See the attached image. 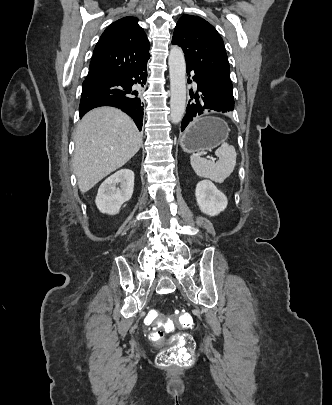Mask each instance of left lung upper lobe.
Returning <instances> with one entry per match:
<instances>
[{
    "label": "left lung upper lobe",
    "instance_id": "1",
    "mask_svg": "<svg viewBox=\"0 0 332 405\" xmlns=\"http://www.w3.org/2000/svg\"><path fill=\"white\" fill-rule=\"evenodd\" d=\"M172 43L180 46L186 65L200 73L213 96L224 109H234L230 67L223 40L216 29L201 17L183 15Z\"/></svg>",
    "mask_w": 332,
    "mask_h": 405
}]
</instances>
